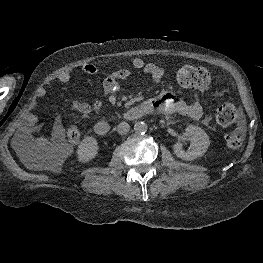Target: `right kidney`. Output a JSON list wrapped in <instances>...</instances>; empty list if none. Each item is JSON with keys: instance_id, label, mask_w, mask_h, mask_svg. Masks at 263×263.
Instances as JSON below:
<instances>
[{"instance_id": "1", "label": "right kidney", "mask_w": 263, "mask_h": 263, "mask_svg": "<svg viewBox=\"0 0 263 263\" xmlns=\"http://www.w3.org/2000/svg\"><path fill=\"white\" fill-rule=\"evenodd\" d=\"M98 154L97 140L88 136L84 138L77 149V157L80 162H88Z\"/></svg>"}]
</instances>
